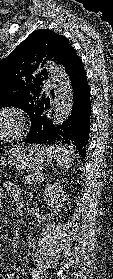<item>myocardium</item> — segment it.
Instances as JSON below:
<instances>
[{"mask_svg": "<svg viewBox=\"0 0 113 279\" xmlns=\"http://www.w3.org/2000/svg\"><path fill=\"white\" fill-rule=\"evenodd\" d=\"M10 117L14 125L9 130L0 134V140H10L21 137L26 130V119L23 112L14 106L0 108V118Z\"/></svg>", "mask_w": 113, "mask_h": 279, "instance_id": "myocardium-1", "label": "myocardium"}]
</instances>
